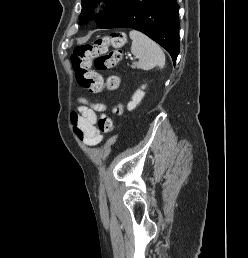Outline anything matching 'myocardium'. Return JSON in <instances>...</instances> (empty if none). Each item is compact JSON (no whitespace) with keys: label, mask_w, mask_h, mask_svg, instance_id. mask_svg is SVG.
Masks as SVG:
<instances>
[{"label":"myocardium","mask_w":248,"mask_h":258,"mask_svg":"<svg viewBox=\"0 0 248 258\" xmlns=\"http://www.w3.org/2000/svg\"><path fill=\"white\" fill-rule=\"evenodd\" d=\"M105 5L104 1H96L93 6L92 9L93 11H100Z\"/></svg>","instance_id":"1"}]
</instances>
